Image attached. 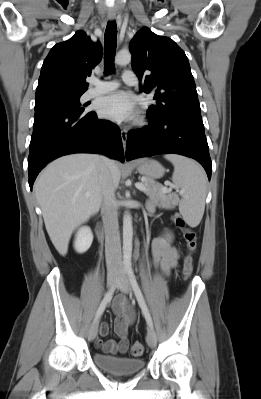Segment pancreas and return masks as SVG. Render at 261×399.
<instances>
[{"label": "pancreas", "mask_w": 261, "mask_h": 399, "mask_svg": "<svg viewBox=\"0 0 261 399\" xmlns=\"http://www.w3.org/2000/svg\"><path fill=\"white\" fill-rule=\"evenodd\" d=\"M143 184L146 187V195L151 199L157 200L160 206L169 207L171 205H176L177 196L164 192L163 186L160 183L146 177Z\"/></svg>", "instance_id": "1"}]
</instances>
